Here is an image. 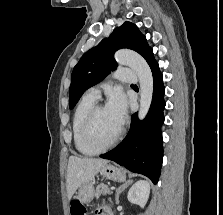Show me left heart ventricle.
I'll use <instances>...</instances> for the list:
<instances>
[{
	"instance_id": "left-heart-ventricle-1",
	"label": "left heart ventricle",
	"mask_w": 223,
	"mask_h": 215,
	"mask_svg": "<svg viewBox=\"0 0 223 215\" xmlns=\"http://www.w3.org/2000/svg\"><path fill=\"white\" fill-rule=\"evenodd\" d=\"M119 128L118 123L106 109L100 110L95 120L94 135L96 141L101 146L107 145L114 139Z\"/></svg>"
}]
</instances>
